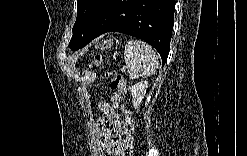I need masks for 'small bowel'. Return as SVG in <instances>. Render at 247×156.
Listing matches in <instances>:
<instances>
[{
  "instance_id": "1",
  "label": "small bowel",
  "mask_w": 247,
  "mask_h": 156,
  "mask_svg": "<svg viewBox=\"0 0 247 156\" xmlns=\"http://www.w3.org/2000/svg\"><path fill=\"white\" fill-rule=\"evenodd\" d=\"M119 99L115 93L111 102H101L103 116L96 126L101 155L124 156L132 147V133L119 113Z\"/></svg>"
}]
</instances>
